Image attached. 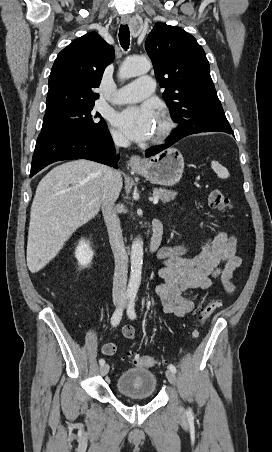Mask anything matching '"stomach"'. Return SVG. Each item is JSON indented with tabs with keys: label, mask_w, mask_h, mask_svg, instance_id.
Segmentation results:
<instances>
[{
	"label": "stomach",
	"mask_w": 272,
	"mask_h": 452,
	"mask_svg": "<svg viewBox=\"0 0 272 452\" xmlns=\"http://www.w3.org/2000/svg\"><path fill=\"white\" fill-rule=\"evenodd\" d=\"M134 170L149 180L161 186H173L180 181L184 170V158L175 148L166 149L145 160Z\"/></svg>",
	"instance_id": "obj_1"
}]
</instances>
